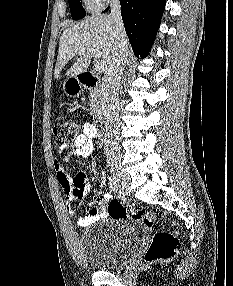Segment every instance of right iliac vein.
I'll use <instances>...</instances> for the list:
<instances>
[{"mask_svg":"<svg viewBox=\"0 0 233 286\" xmlns=\"http://www.w3.org/2000/svg\"><path fill=\"white\" fill-rule=\"evenodd\" d=\"M108 163L111 173L113 174V176L118 182L119 187L121 188L122 194L128 195L130 193L128 175L123 171L121 165L118 163L117 160L111 159Z\"/></svg>","mask_w":233,"mask_h":286,"instance_id":"obj_1","label":"right iliac vein"}]
</instances>
